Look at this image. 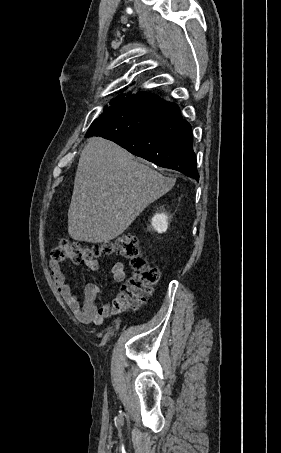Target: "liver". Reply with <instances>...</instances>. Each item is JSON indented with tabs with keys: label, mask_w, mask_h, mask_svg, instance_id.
I'll return each mask as SVG.
<instances>
[{
	"label": "liver",
	"mask_w": 281,
	"mask_h": 453,
	"mask_svg": "<svg viewBox=\"0 0 281 453\" xmlns=\"http://www.w3.org/2000/svg\"><path fill=\"white\" fill-rule=\"evenodd\" d=\"M111 140L92 136L79 158L68 210L74 241L109 243L122 235L140 212L173 188L163 176Z\"/></svg>",
	"instance_id": "liver-1"
}]
</instances>
